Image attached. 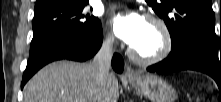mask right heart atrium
I'll return each mask as SVG.
<instances>
[{"label":"right heart atrium","instance_id":"obj_1","mask_svg":"<svg viewBox=\"0 0 221 102\" xmlns=\"http://www.w3.org/2000/svg\"><path fill=\"white\" fill-rule=\"evenodd\" d=\"M114 37L110 32H107L105 37H104V44L105 46L110 47L113 44Z\"/></svg>","mask_w":221,"mask_h":102}]
</instances>
